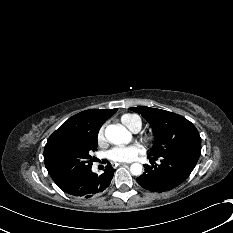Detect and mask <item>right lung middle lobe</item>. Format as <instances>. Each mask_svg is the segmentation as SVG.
<instances>
[{
  "mask_svg": "<svg viewBox=\"0 0 233 233\" xmlns=\"http://www.w3.org/2000/svg\"><path fill=\"white\" fill-rule=\"evenodd\" d=\"M97 136L60 143L51 156V170L57 180L64 181L92 166L91 153L97 149Z\"/></svg>",
  "mask_w": 233,
  "mask_h": 233,
  "instance_id": "right-lung-middle-lobe-1",
  "label": "right lung middle lobe"
}]
</instances>
